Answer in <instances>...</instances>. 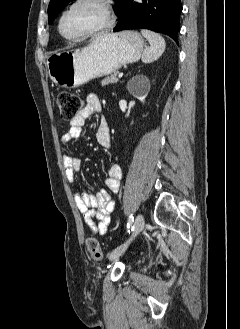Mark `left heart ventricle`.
<instances>
[{"label": "left heart ventricle", "mask_w": 240, "mask_h": 329, "mask_svg": "<svg viewBox=\"0 0 240 329\" xmlns=\"http://www.w3.org/2000/svg\"><path fill=\"white\" fill-rule=\"evenodd\" d=\"M105 22L103 9L94 3H82L75 6L62 21V32L74 36Z\"/></svg>", "instance_id": "b2bd125f"}]
</instances>
